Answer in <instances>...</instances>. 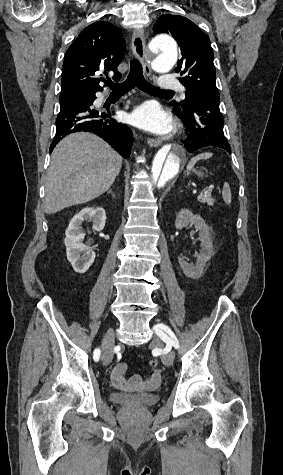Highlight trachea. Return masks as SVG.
<instances>
[{"instance_id":"obj_1","label":"trachea","mask_w":283,"mask_h":475,"mask_svg":"<svg viewBox=\"0 0 283 475\" xmlns=\"http://www.w3.org/2000/svg\"><path fill=\"white\" fill-rule=\"evenodd\" d=\"M113 92H129L133 88L137 87L139 90L150 94H173L172 90H162L158 87H154L151 83L147 82L143 75V67L138 59H132L130 64V72L126 80L122 83H114L109 80L106 83Z\"/></svg>"}]
</instances>
